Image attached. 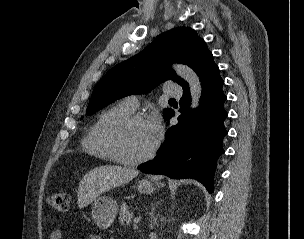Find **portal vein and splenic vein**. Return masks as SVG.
<instances>
[{
  "label": "portal vein and splenic vein",
  "instance_id": "18ae733b",
  "mask_svg": "<svg viewBox=\"0 0 304 239\" xmlns=\"http://www.w3.org/2000/svg\"><path fill=\"white\" fill-rule=\"evenodd\" d=\"M140 219H141L140 217H135L133 221H134V223H138L140 221Z\"/></svg>",
  "mask_w": 304,
  "mask_h": 239
}]
</instances>
